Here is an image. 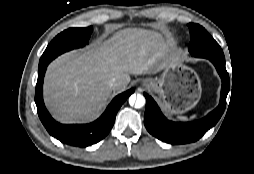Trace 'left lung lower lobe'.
<instances>
[{
  "mask_svg": "<svg viewBox=\"0 0 254 174\" xmlns=\"http://www.w3.org/2000/svg\"><path fill=\"white\" fill-rule=\"evenodd\" d=\"M207 59L216 67L222 80V88L218 107L203 119L186 123L169 121L163 116L156 102L144 93L146 97L144 124L148 132L157 139L173 145L195 142L213 127L222 116L229 92V76L225 68V59L213 57Z\"/></svg>",
  "mask_w": 254,
  "mask_h": 174,
  "instance_id": "0a47b994",
  "label": "left lung lower lobe"
}]
</instances>
